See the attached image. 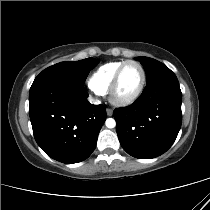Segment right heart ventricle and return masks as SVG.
<instances>
[{
	"instance_id": "e07e8e85",
	"label": "right heart ventricle",
	"mask_w": 210,
	"mask_h": 210,
	"mask_svg": "<svg viewBox=\"0 0 210 210\" xmlns=\"http://www.w3.org/2000/svg\"><path fill=\"white\" fill-rule=\"evenodd\" d=\"M123 62L124 60L111 61L101 65L89 78L90 88L98 94L108 93L113 76Z\"/></svg>"
}]
</instances>
